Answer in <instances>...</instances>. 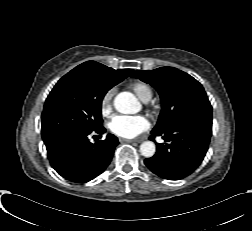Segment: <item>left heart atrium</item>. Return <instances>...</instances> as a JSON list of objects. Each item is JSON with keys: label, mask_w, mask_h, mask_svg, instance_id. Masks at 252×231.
Returning a JSON list of instances; mask_svg holds the SVG:
<instances>
[{"label": "left heart atrium", "mask_w": 252, "mask_h": 231, "mask_svg": "<svg viewBox=\"0 0 252 231\" xmlns=\"http://www.w3.org/2000/svg\"><path fill=\"white\" fill-rule=\"evenodd\" d=\"M149 127L148 119L142 115H116L109 124L110 130L114 134L124 138H134L148 130Z\"/></svg>", "instance_id": "1"}]
</instances>
